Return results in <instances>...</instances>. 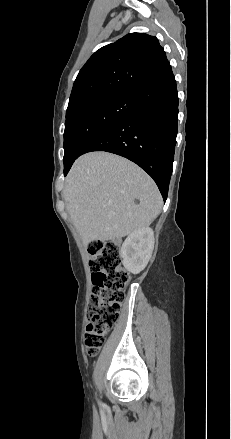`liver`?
<instances>
[{
  "mask_svg": "<svg viewBox=\"0 0 231 439\" xmlns=\"http://www.w3.org/2000/svg\"><path fill=\"white\" fill-rule=\"evenodd\" d=\"M63 194L85 245L148 227L163 205L151 177L131 161L107 152L79 157L66 177Z\"/></svg>",
  "mask_w": 231,
  "mask_h": 439,
  "instance_id": "obj_1",
  "label": "liver"
}]
</instances>
